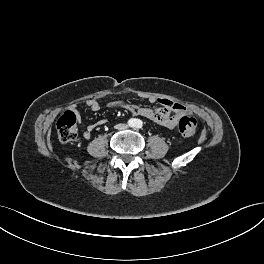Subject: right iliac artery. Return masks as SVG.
<instances>
[{"label": "right iliac artery", "mask_w": 264, "mask_h": 264, "mask_svg": "<svg viewBox=\"0 0 264 264\" xmlns=\"http://www.w3.org/2000/svg\"><path fill=\"white\" fill-rule=\"evenodd\" d=\"M128 124H129V126H133V125H134V120L130 119V120L128 121Z\"/></svg>", "instance_id": "right-iliac-artery-1"}]
</instances>
